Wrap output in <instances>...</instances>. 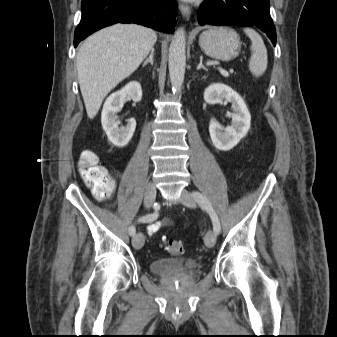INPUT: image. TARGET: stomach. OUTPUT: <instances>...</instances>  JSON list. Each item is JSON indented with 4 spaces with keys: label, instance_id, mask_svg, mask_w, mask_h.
<instances>
[{
    "label": "stomach",
    "instance_id": "obj_1",
    "mask_svg": "<svg viewBox=\"0 0 337 337\" xmlns=\"http://www.w3.org/2000/svg\"><path fill=\"white\" fill-rule=\"evenodd\" d=\"M199 45L209 57L229 61L238 56L241 42L234 30L227 27H211L200 35Z\"/></svg>",
    "mask_w": 337,
    "mask_h": 337
}]
</instances>
